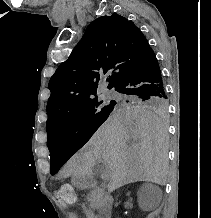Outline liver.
Segmentation results:
<instances>
[{"mask_svg": "<svg viewBox=\"0 0 211 218\" xmlns=\"http://www.w3.org/2000/svg\"><path fill=\"white\" fill-rule=\"evenodd\" d=\"M167 140L166 128L153 112L115 110L86 146L67 162L63 172L81 178L92 174L97 162H105L115 188L133 182L165 186Z\"/></svg>", "mask_w": 211, "mask_h": 218, "instance_id": "6515ba94", "label": "liver"}]
</instances>
